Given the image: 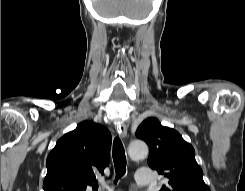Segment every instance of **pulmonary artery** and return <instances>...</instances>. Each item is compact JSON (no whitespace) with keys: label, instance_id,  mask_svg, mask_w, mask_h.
Listing matches in <instances>:
<instances>
[{"label":"pulmonary artery","instance_id":"pulmonary-artery-1","mask_svg":"<svg viewBox=\"0 0 245 191\" xmlns=\"http://www.w3.org/2000/svg\"><path fill=\"white\" fill-rule=\"evenodd\" d=\"M135 181L138 186H148L152 182V173L149 168H139L136 171ZM112 191V190H110Z\"/></svg>","mask_w":245,"mask_h":191}]
</instances>
